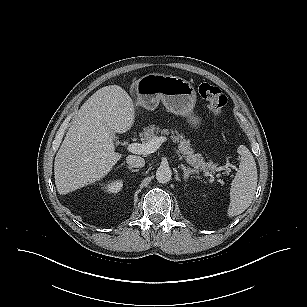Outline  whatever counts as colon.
Instances as JSON below:
<instances>
[{
    "label": "colon",
    "instance_id": "1",
    "mask_svg": "<svg viewBox=\"0 0 307 307\" xmlns=\"http://www.w3.org/2000/svg\"><path fill=\"white\" fill-rule=\"evenodd\" d=\"M199 93L200 96L207 102L208 108L211 110V112L215 116L221 117L228 102L222 91L216 86L203 83L199 87Z\"/></svg>",
    "mask_w": 307,
    "mask_h": 307
}]
</instances>
